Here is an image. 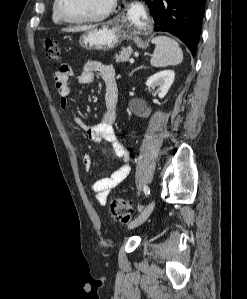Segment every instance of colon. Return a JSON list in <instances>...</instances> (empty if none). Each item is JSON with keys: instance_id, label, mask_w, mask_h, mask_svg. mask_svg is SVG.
Listing matches in <instances>:
<instances>
[{"instance_id": "5ec220e1", "label": "colon", "mask_w": 247, "mask_h": 299, "mask_svg": "<svg viewBox=\"0 0 247 299\" xmlns=\"http://www.w3.org/2000/svg\"><path fill=\"white\" fill-rule=\"evenodd\" d=\"M44 51L49 61H57L59 59V49L55 40L46 39L44 42ZM109 210L112 218L118 222L128 223L131 220L132 205L126 199H112L109 204Z\"/></svg>"}]
</instances>
